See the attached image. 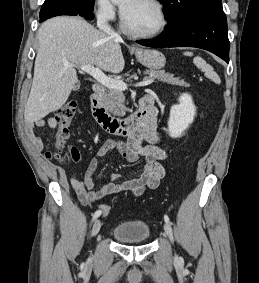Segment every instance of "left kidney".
<instances>
[{"label":"left kidney","mask_w":259,"mask_h":283,"mask_svg":"<svg viewBox=\"0 0 259 283\" xmlns=\"http://www.w3.org/2000/svg\"><path fill=\"white\" fill-rule=\"evenodd\" d=\"M196 107L191 95L184 93L179 97V104L170 109L168 132L171 138H180L194 121Z\"/></svg>","instance_id":"obj_1"}]
</instances>
